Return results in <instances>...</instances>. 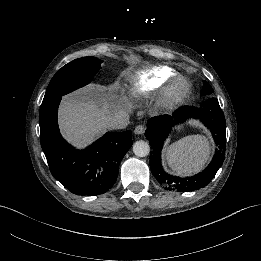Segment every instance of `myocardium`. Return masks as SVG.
Wrapping results in <instances>:
<instances>
[{"instance_id": "myocardium-1", "label": "myocardium", "mask_w": 261, "mask_h": 261, "mask_svg": "<svg viewBox=\"0 0 261 261\" xmlns=\"http://www.w3.org/2000/svg\"><path fill=\"white\" fill-rule=\"evenodd\" d=\"M190 92L191 84L189 80L182 75H176L168 84L162 99L163 107L171 109L178 106L189 96Z\"/></svg>"}]
</instances>
